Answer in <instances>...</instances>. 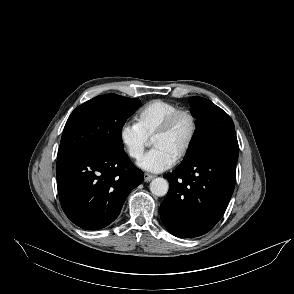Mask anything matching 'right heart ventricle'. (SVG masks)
<instances>
[{
  "mask_svg": "<svg viewBox=\"0 0 294 294\" xmlns=\"http://www.w3.org/2000/svg\"><path fill=\"white\" fill-rule=\"evenodd\" d=\"M180 107L165 100H152L145 104L136 115V124L147 138H152L162 122Z\"/></svg>",
  "mask_w": 294,
  "mask_h": 294,
  "instance_id": "obj_1",
  "label": "right heart ventricle"
}]
</instances>
